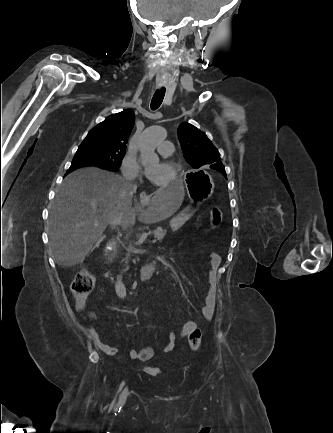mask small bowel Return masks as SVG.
Returning <instances> with one entry per match:
<instances>
[{
	"instance_id": "c3829d8e",
	"label": "small bowel",
	"mask_w": 333,
	"mask_h": 433,
	"mask_svg": "<svg viewBox=\"0 0 333 433\" xmlns=\"http://www.w3.org/2000/svg\"><path fill=\"white\" fill-rule=\"evenodd\" d=\"M220 263H221V256L216 252L210 253L209 255L210 275L216 274L220 266ZM214 309H215V291L211 286H209L204 298L203 305L201 306L200 313L204 319L209 320L213 317ZM196 328H198V325L195 322L188 321L183 325L179 333H176L174 331L170 332L167 335V341L165 346L163 347V352L164 353L171 352L174 349L175 343L178 338L189 336L190 333ZM89 337L92 340L94 346L104 354L108 356H113L117 353L118 348L116 346L103 343L100 340L97 331L93 327L89 329ZM154 352L155 351L152 346H146L140 350H136V349L130 350V357L132 359H138L146 362L149 361L154 356Z\"/></svg>"
}]
</instances>
